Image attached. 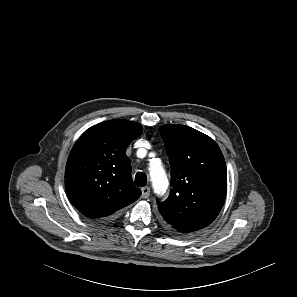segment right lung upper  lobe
I'll list each match as a JSON object with an SVG mask.
<instances>
[{
  "mask_svg": "<svg viewBox=\"0 0 297 297\" xmlns=\"http://www.w3.org/2000/svg\"><path fill=\"white\" fill-rule=\"evenodd\" d=\"M141 133V125L116 119L81 135L65 170L66 192L77 210L92 219H106L140 197L126 149Z\"/></svg>",
  "mask_w": 297,
  "mask_h": 297,
  "instance_id": "right-lung-upper-lobe-1",
  "label": "right lung upper lobe"
}]
</instances>
